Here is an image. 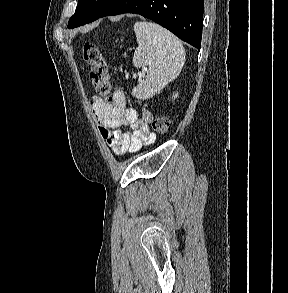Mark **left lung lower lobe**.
Listing matches in <instances>:
<instances>
[{
    "label": "left lung lower lobe",
    "mask_w": 288,
    "mask_h": 293,
    "mask_svg": "<svg viewBox=\"0 0 288 293\" xmlns=\"http://www.w3.org/2000/svg\"><path fill=\"white\" fill-rule=\"evenodd\" d=\"M203 10V0H116L99 18L140 14L200 50Z\"/></svg>",
    "instance_id": "obj_1"
}]
</instances>
